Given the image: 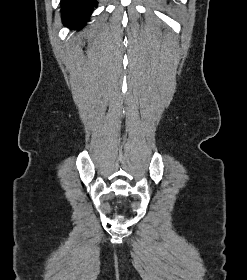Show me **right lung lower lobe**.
<instances>
[{"mask_svg": "<svg viewBox=\"0 0 247 280\" xmlns=\"http://www.w3.org/2000/svg\"><path fill=\"white\" fill-rule=\"evenodd\" d=\"M95 7L96 0H62V21L71 30H79L86 25Z\"/></svg>", "mask_w": 247, "mask_h": 280, "instance_id": "obj_1", "label": "right lung lower lobe"}]
</instances>
